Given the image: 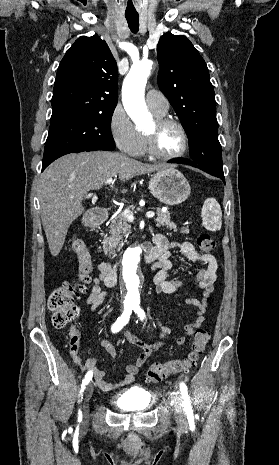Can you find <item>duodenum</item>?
<instances>
[{
  "mask_svg": "<svg viewBox=\"0 0 279 465\" xmlns=\"http://www.w3.org/2000/svg\"><path fill=\"white\" fill-rule=\"evenodd\" d=\"M108 217H109V214L105 210L94 211L86 216L85 223L88 227H97L103 224L105 221H107ZM143 249L145 252L146 262L150 263L157 259L159 253H158V250L152 244L145 243L143 245ZM116 282H117L116 269L113 266H109V268L107 269L105 273V284L108 287H113L115 286Z\"/></svg>",
  "mask_w": 279,
  "mask_h": 465,
  "instance_id": "obj_1",
  "label": "duodenum"
}]
</instances>
